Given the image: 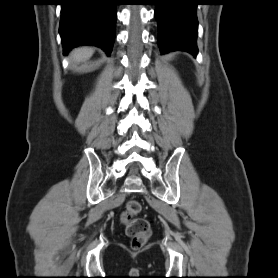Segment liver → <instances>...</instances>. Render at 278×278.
I'll use <instances>...</instances> for the list:
<instances>
[{
  "label": "liver",
  "mask_w": 278,
  "mask_h": 278,
  "mask_svg": "<svg viewBox=\"0 0 278 278\" xmlns=\"http://www.w3.org/2000/svg\"><path fill=\"white\" fill-rule=\"evenodd\" d=\"M92 54H93L92 49L82 47V48H78L74 51L73 57L77 61H81V60H85V59L89 58Z\"/></svg>",
  "instance_id": "liver-1"
}]
</instances>
